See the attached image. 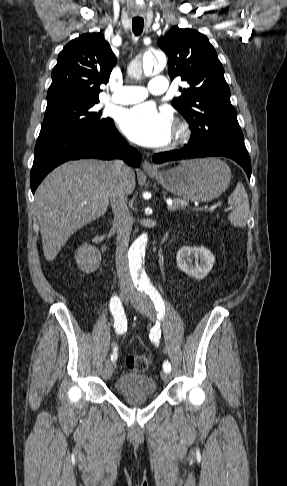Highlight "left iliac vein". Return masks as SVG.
<instances>
[{
	"instance_id": "obj_1",
	"label": "left iliac vein",
	"mask_w": 287,
	"mask_h": 486,
	"mask_svg": "<svg viewBox=\"0 0 287 486\" xmlns=\"http://www.w3.org/2000/svg\"><path fill=\"white\" fill-rule=\"evenodd\" d=\"M131 303L133 307L145 317L154 321L156 318V312L152 301L144 293L135 292L131 297ZM161 378L164 382H168L171 379V375L168 372H161Z\"/></svg>"
}]
</instances>
